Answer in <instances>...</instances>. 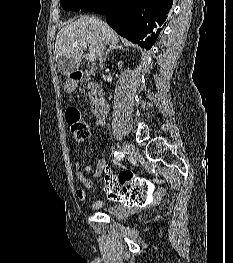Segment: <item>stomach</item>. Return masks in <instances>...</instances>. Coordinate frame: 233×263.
<instances>
[{
	"label": "stomach",
	"mask_w": 233,
	"mask_h": 263,
	"mask_svg": "<svg viewBox=\"0 0 233 263\" xmlns=\"http://www.w3.org/2000/svg\"><path fill=\"white\" fill-rule=\"evenodd\" d=\"M65 89L67 92H72L75 89V83L71 80H68L65 84Z\"/></svg>",
	"instance_id": "stomach-1"
}]
</instances>
